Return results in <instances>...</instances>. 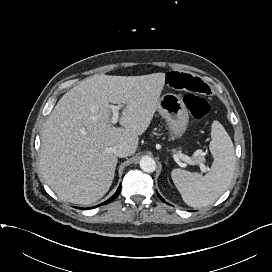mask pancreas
<instances>
[{
  "instance_id": "cf45deb5",
  "label": "pancreas",
  "mask_w": 272,
  "mask_h": 272,
  "mask_svg": "<svg viewBox=\"0 0 272 272\" xmlns=\"http://www.w3.org/2000/svg\"><path fill=\"white\" fill-rule=\"evenodd\" d=\"M192 160H193L194 162H202V161H204L205 159H204V157H202V156H194V157L192 158Z\"/></svg>"
}]
</instances>
